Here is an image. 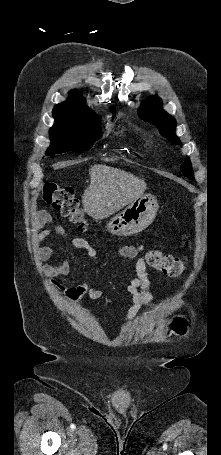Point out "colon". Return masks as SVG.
Returning <instances> with one entry per match:
<instances>
[{"mask_svg": "<svg viewBox=\"0 0 221 455\" xmlns=\"http://www.w3.org/2000/svg\"><path fill=\"white\" fill-rule=\"evenodd\" d=\"M42 197L47 204L51 205L63 217L68 218L76 224L82 232L87 230L88 223L84 210L71 188L52 182L46 183L43 188ZM145 260L151 267L172 277L180 275L186 264L184 258L166 255L159 249L147 251ZM187 328L188 323L183 318L174 319L170 326V329L177 334L185 333Z\"/></svg>", "mask_w": 221, "mask_h": 455, "instance_id": "1", "label": "colon"}]
</instances>
